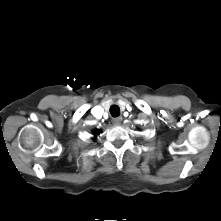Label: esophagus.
I'll return each mask as SVG.
<instances>
[{"mask_svg": "<svg viewBox=\"0 0 221 221\" xmlns=\"http://www.w3.org/2000/svg\"><path fill=\"white\" fill-rule=\"evenodd\" d=\"M112 121H113V124H114V125L118 126V125H120L121 122H122V117H115V118H113Z\"/></svg>", "mask_w": 221, "mask_h": 221, "instance_id": "obj_1", "label": "esophagus"}]
</instances>
